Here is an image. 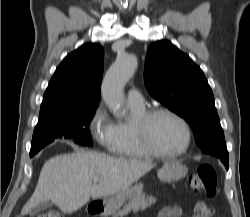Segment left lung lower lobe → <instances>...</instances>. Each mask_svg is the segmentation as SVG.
<instances>
[{"mask_svg": "<svg viewBox=\"0 0 250 217\" xmlns=\"http://www.w3.org/2000/svg\"><path fill=\"white\" fill-rule=\"evenodd\" d=\"M202 153L209 154V155L219 158L225 165L226 169H228L229 155H228L225 141L219 142L217 144H214V145H211L209 147L202 149Z\"/></svg>", "mask_w": 250, "mask_h": 217, "instance_id": "left-lung-lower-lobe-1", "label": "left lung lower lobe"}]
</instances>
